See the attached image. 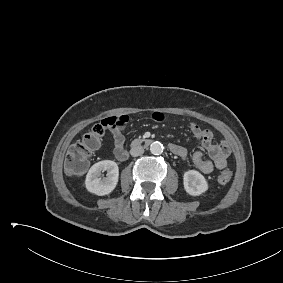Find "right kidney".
<instances>
[{
    "mask_svg": "<svg viewBox=\"0 0 283 283\" xmlns=\"http://www.w3.org/2000/svg\"><path fill=\"white\" fill-rule=\"evenodd\" d=\"M107 172L106 177L101 178V172ZM118 165L111 160H103L95 163L88 171L85 180L86 189L99 196L110 194L118 183Z\"/></svg>",
    "mask_w": 283,
    "mask_h": 283,
    "instance_id": "right-kidney-1",
    "label": "right kidney"
}]
</instances>
